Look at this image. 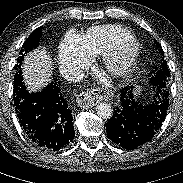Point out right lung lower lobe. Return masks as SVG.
Instances as JSON below:
<instances>
[{"label":"right lung lower lobe","instance_id":"98d812e1","mask_svg":"<svg viewBox=\"0 0 183 183\" xmlns=\"http://www.w3.org/2000/svg\"><path fill=\"white\" fill-rule=\"evenodd\" d=\"M14 81V105L19 123L36 146L58 151L74 139L73 114L57 83L44 90L29 93L22 73Z\"/></svg>","mask_w":183,"mask_h":183}]
</instances>
